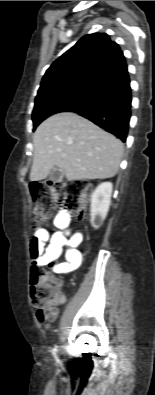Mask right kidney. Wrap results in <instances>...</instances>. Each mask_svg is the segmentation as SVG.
Returning <instances> with one entry per match:
<instances>
[{"label":"right kidney","instance_id":"obj_1","mask_svg":"<svg viewBox=\"0 0 155 395\" xmlns=\"http://www.w3.org/2000/svg\"><path fill=\"white\" fill-rule=\"evenodd\" d=\"M112 183L104 182L100 184L91 196V225L97 229L99 228L109 211L112 195Z\"/></svg>","mask_w":155,"mask_h":395}]
</instances>
